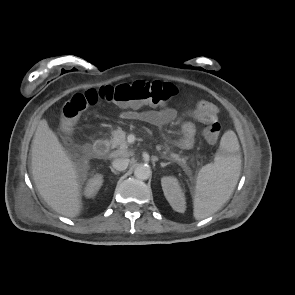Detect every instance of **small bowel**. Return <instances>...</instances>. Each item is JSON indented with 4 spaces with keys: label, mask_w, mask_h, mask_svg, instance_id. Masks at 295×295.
<instances>
[{
    "label": "small bowel",
    "mask_w": 295,
    "mask_h": 295,
    "mask_svg": "<svg viewBox=\"0 0 295 295\" xmlns=\"http://www.w3.org/2000/svg\"><path fill=\"white\" fill-rule=\"evenodd\" d=\"M219 109L209 101H199L194 109V117L202 122L217 120ZM177 112L174 108L165 107L158 110L139 111L137 108L123 109L119 117L125 120L142 121L152 125H164L175 119ZM196 128L193 122H185L182 125L181 137L177 146L182 149H190L195 142Z\"/></svg>",
    "instance_id": "obj_1"
}]
</instances>
